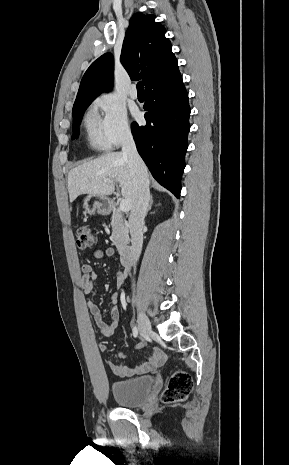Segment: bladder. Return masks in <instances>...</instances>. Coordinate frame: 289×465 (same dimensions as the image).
<instances>
[{
	"mask_svg": "<svg viewBox=\"0 0 289 465\" xmlns=\"http://www.w3.org/2000/svg\"><path fill=\"white\" fill-rule=\"evenodd\" d=\"M153 383L152 376L119 380L111 384V392L114 400L120 406L138 407L149 399Z\"/></svg>",
	"mask_w": 289,
	"mask_h": 465,
	"instance_id": "bladder-1",
	"label": "bladder"
}]
</instances>
